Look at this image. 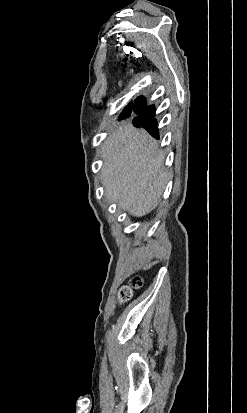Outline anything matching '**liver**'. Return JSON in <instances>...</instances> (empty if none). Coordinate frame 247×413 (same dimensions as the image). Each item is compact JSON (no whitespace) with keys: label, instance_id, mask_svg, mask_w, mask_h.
Here are the masks:
<instances>
[{"label":"liver","instance_id":"liver-1","mask_svg":"<svg viewBox=\"0 0 247 413\" xmlns=\"http://www.w3.org/2000/svg\"><path fill=\"white\" fill-rule=\"evenodd\" d=\"M101 152V180L108 200L118 202L132 217H144L156 209L168 174L157 140L144 128L121 122Z\"/></svg>","mask_w":247,"mask_h":413}]
</instances>
